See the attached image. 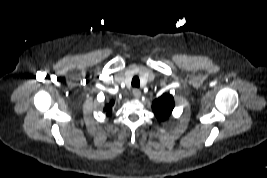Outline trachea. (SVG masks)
I'll return each mask as SVG.
<instances>
[{"label":"trachea","mask_w":267,"mask_h":178,"mask_svg":"<svg viewBox=\"0 0 267 178\" xmlns=\"http://www.w3.org/2000/svg\"><path fill=\"white\" fill-rule=\"evenodd\" d=\"M140 86V80L138 76H134L132 79V87L138 88Z\"/></svg>","instance_id":"3493384b"}]
</instances>
